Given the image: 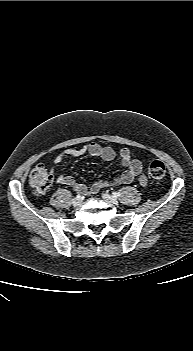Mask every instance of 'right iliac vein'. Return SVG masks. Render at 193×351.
I'll use <instances>...</instances> for the list:
<instances>
[{"label":"right iliac vein","mask_w":193,"mask_h":351,"mask_svg":"<svg viewBox=\"0 0 193 351\" xmlns=\"http://www.w3.org/2000/svg\"><path fill=\"white\" fill-rule=\"evenodd\" d=\"M81 202H82V200L80 199V198H74L73 200H72V205L74 206V207H77V206H79L80 204H81Z\"/></svg>","instance_id":"1"}]
</instances>
